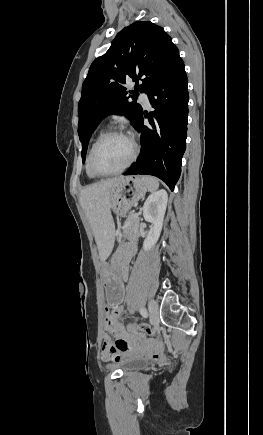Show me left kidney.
<instances>
[{
    "instance_id": "5707ae66",
    "label": "left kidney",
    "mask_w": 263,
    "mask_h": 435,
    "mask_svg": "<svg viewBox=\"0 0 263 435\" xmlns=\"http://www.w3.org/2000/svg\"><path fill=\"white\" fill-rule=\"evenodd\" d=\"M167 201L168 194L166 190L161 189L148 196L144 203L143 217L146 221L153 224L143 242V248L145 251L154 247L160 237Z\"/></svg>"
}]
</instances>
